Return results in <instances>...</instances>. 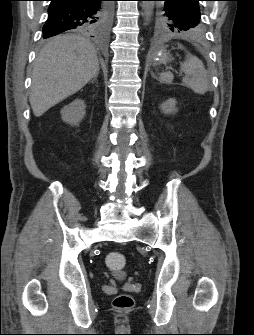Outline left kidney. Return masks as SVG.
I'll return each mask as SVG.
<instances>
[{
  "label": "left kidney",
  "instance_id": "5707ae66",
  "mask_svg": "<svg viewBox=\"0 0 254 335\" xmlns=\"http://www.w3.org/2000/svg\"><path fill=\"white\" fill-rule=\"evenodd\" d=\"M176 103L175 99H168L160 105V109L164 114H175L178 111Z\"/></svg>",
  "mask_w": 254,
  "mask_h": 335
}]
</instances>
